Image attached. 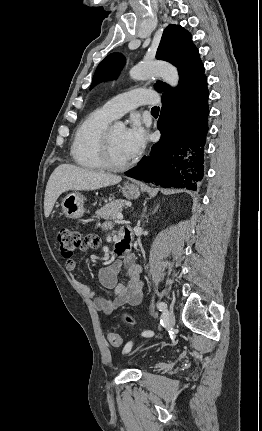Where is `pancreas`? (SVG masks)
<instances>
[{"label":"pancreas","mask_w":262,"mask_h":431,"mask_svg":"<svg viewBox=\"0 0 262 431\" xmlns=\"http://www.w3.org/2000/svg\"><path fill=\"white\" fill-rule=\"evenodd\" d=\"M124 203V200H115L109 204H106L96 211V216L106 220L115 219L117 214L122 211Z\"/></svg>","instance_id":"pancreas-1"}]
</instances>
